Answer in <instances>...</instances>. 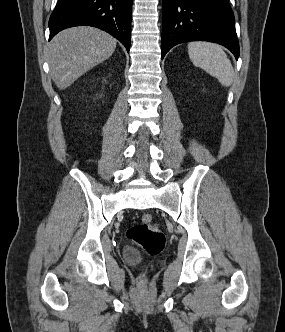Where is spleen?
<instances>
[{
  "mask_svg": "<svg viewBox=\"0 0 285 332\" xmlns=\"http://www.w3.org/2000/svg\"><path fill=\"white\" fill-rule=\"evenodd\" d=\"M188 54L195 66L216 77L221 85L229 87L233 83V66L219 45L205 41L190 42Z\"/></svg>",
  "mask_w": 285,
  "mask_h": 332,
  "instance_id": "3e777b00",
  "label": "spleen"
}]
</instances>
